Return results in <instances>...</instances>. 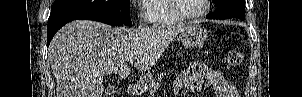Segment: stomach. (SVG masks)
Listing matches in <instances>:
<instances>
[{"label":"stomach","mask_w":302,"mask_h":97,"mask_svg":"<svg viewBox=\"0 0 302 97\" xmlns=\"http://www.w3.org/2000/svg\"><path fill=\"white\" fill-rule=\"evenodd\" d=\"M180 41L185 47L193 48L200 47L207 39L206 30L199 24H189L180 33ZM152 80V75L147 74L142 77L144 83Z\"/></svg>","instance_id":"stomach-1"}]
</instances>
